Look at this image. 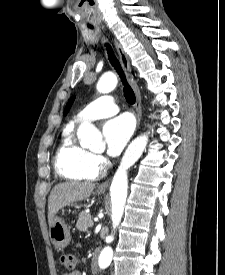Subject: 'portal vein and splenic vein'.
Segmentation results:
<instances>
[{
    "instance_id": "obj_1",
    "label": "portal vein and splenic vein",
    "mask_w": 225,
    "mask_h": 275,
    "mask_svg": "<svg viewBox=\"0 0 225 275\" xmlns=\"http://www.w3.org/2000/svg\"><path fill=\"white\" fill-rule=\"evenodd\" d=\"M90 223H91V225L93 226V221H91Z\"/></svg>"
}]
</instances>
